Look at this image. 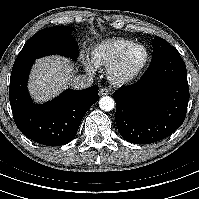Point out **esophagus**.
I'll list each match as a JSON object with an SVG mask.
<instances>
[{"instance_id": "34e87169", "label": "esophagus", "mask_w": 199, "mask_h": 199, "mask_svg": "<svg viewBox=\"0 0 199 199\" xmlns=\"http://www.w3.org/2000/svg\"><path fill=\"white\" fill-rule=\"evenodd\" d=\"M108 93H109V90H108L107 88H101V89L99 90V94H100L101 96L107 95Z\"/></svg>"}]
</instances>
